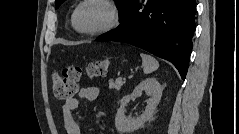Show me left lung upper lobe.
<instances>
[{"instance_id":"obj_1","label":"left lung upper lobe","mask_w":239,"mask_h":134,"mask_svg":"<svg viewBox=\"0 0 239 134\" xmlns=\"http://www.w3.org/2000/svg\"><path fill=\"white\" fill-rule=\"evenodd\" d=\"M64 1L65 0H55L56 8H58ZM134 1L135 0H115L121 19L126 15Z\"/></svg>"}]
</instances>
